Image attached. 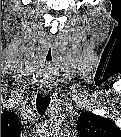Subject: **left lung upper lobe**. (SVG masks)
Segmentation results:
<instances>
[{"label": "left lung upper lobe", "mask_w": 121, "mask_h": 137, "mask_svg": "<svg viewBox=\"0 0 121 137\" xmlns=\"http://www.w3.org/2000/svg\"><path fill=\"white\" fill-rule=\"evenodd\" d=\"M77 129L81 136L119 137L121 130L111 120L90 112L80 114Z\"/></svg>", "instance_id": "1"}]
</instances>
